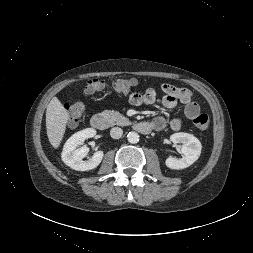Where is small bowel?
Returning <instances> with one entry per match:
<instances>
[{"instance_id":"c3829d8e","label":"small bowel","mask_w":253,"mask_h":253,"mask_svg":"<svg viewBox=\"0 0 253 253\" xmlns=\"http://www.w3.org/2000/svg\"><path fill=\"white\" fill-rule=\"evenodd\" d=\"M164 96L159 98L157 90L153 87L148 88L144 93L133 91L130 96V102L133 105L160 103L168 109L175 108L179 103L184 105V113L188 119H194L200 112V107L192 98V93L186 88L177 87L171 84H162L160 86ZM151 124L155 130H161L166 125V120L159 116ZM182 127V121L179 118H173L170 121V128L173 131H179Z\"/></svg>"}]
</instances>
